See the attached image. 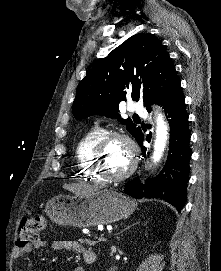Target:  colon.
Segmentation results:
<instances>
[{
  "mask_svg": "<svg viewBox=\"0 0 221 271\" xmlns=\"http://www.w3.org/2000/svg\"><path fill=\"white\" fill-rule=\"evenodd\" d=\"M46 224L47 219L43 213L34 218L24 219L16 241L18 248H26L31 242H34L46 228Z\"/></svg>",
  "mask_w": 221,
  "mask_h": 271,
  "instance_id": "colon-1",
  "label": "colon"
}]
</instances>
